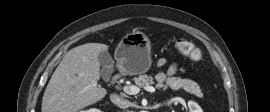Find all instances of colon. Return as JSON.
<instances>
[{
	"mask_svg": "<svg viewBox=\"0 0 270 112\" xmlns=\"http://www.w3.org/2000/svg\"><path fill=\"white\" fill-rule=\"evenodd\" d=\"M179 47H180L181 50H187L188 49V46L186 44H184V43L180 44Z\"/></svg>",
	"mask_w": 270,
	"mask_h": 112,
	"instance_id": "obj_1",
	"label": "colon"
}]
</instances>
